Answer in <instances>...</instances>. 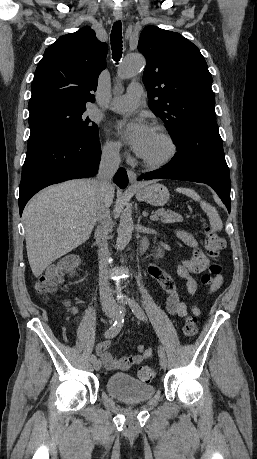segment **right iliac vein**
<instances>
[{"label": "right iliac vein", "mask_w": 257, "mask_h": 459, "mask_svg": "<svg viewBox=\"0 0 257 459\" xmlns=\"http://www.w3.org/2000/svg\"><path fill=\"white\" fill-rule=\"evenodd\" d=\"M104 311H105L106 316L109 317L111 321L117 318V315L114 313L111 307H106ZM93 367L96 371H99L101 369V361L95 360L93 362Z\"/></svg>", "instance_id": "obj_1"}]
</instances>
